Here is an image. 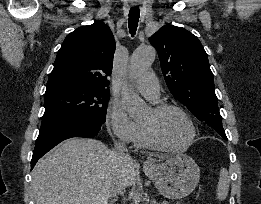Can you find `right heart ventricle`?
<instances>
[{
    "instance_id": "right-heart-ventricle-1",
    "label": "right heart ventricle",
    "mask_w": 261,
    "mask_h": 204,
    "mask_svg": "<svg viewBox=\"0 0 261 204\" xmlns=\"http://www.w3.org/2000/svg\"><path fill=\"white\" fill-rule=\"evenodd\" d=\"M134 143L137 147H140V148H145V149H155L156 148L149 140L141 123H137V136H136V140Z\"/></svg>"
}]
</instances>
